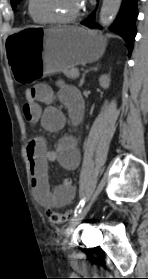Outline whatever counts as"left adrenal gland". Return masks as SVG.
<instances>
[{"label": "left adrenal gland", "mask_w": 148, "mask_h": 279, "mask_svg": "<svg viewBox=\"0 0 148 279\" xmlns=\"http://www.w3.org/2000/svg\"><path fill=\"white\" fill-rule=\"evenodd\" d=\"M98 67L95 66V67H91L90 69L86 70L83 75H82V78L80 80V83H79V87H82L83 84H84V81H85V76L86 74L89 72V71H97Z\"/></svg>", "instance_id": "left-adrenal-gland-1"}]
</instances>
